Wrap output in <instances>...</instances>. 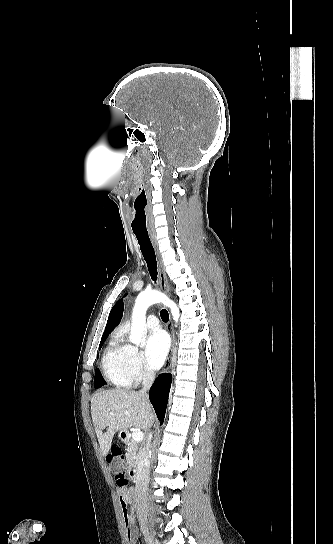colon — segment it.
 <instances>
[{
    "label": "colon",
    "mask_w": 333,
    "mask_h": 544,
    "mask_svg": "<svg viewBox=\"0 0 333 544\" xmlns=\"http://www.w3.org/2000/svg\"><path fill=\"white\" fill-rule=\"evenodd\" d=\"M107 461L109 463L118 462L119 464H123V461H124L123 454L119 446L117 445L112 446L110 453L107 456ZM115 482L117 486L120 488H126V486L128 485V479L126 478L123 472H118L115 475Z\"/></svg>",
    "instance_id": "5ec220e1"
}]
</instances>
